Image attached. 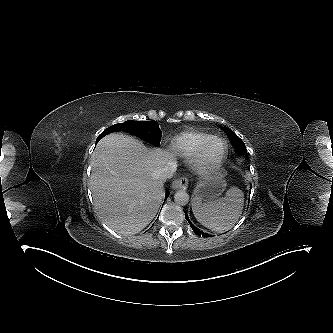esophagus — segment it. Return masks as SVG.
<instances>
[{"label": "esophagus", "mask_w": 333, "mask_h": 333, "mask_svg": "<svg viewBox=\"0 0 333 333\" xmlns=\"http://www.w3.org/2000/svg\"><path fill=\"white\" fill-rule=\"evenodd\" d=\"M172 189H182L186 190L188 187V178L187 177H181L179 179H176L171 184Z\"/></svg>", "instance_id": "esophagus-1"}]
</instances>
